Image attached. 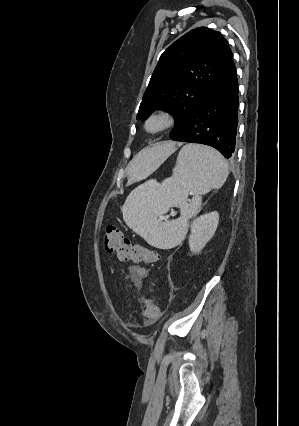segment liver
<instances>
[{"instance_id": "1", "label": "liver", "mask_w": 299, "mask_h": 426, "mask_svg": "<svg viewBox=\"0 0 299 426\" xmlns=\"http://www.w3.org/2000/svg\"><path fill=\"white\" fill-rule=\"evenodd\" d=\"M176 145L179 144L164 141L142 149L129 164L128 174L130 178L138 179L151 174L175 152Z\"/></svg>"}]
</instances>
